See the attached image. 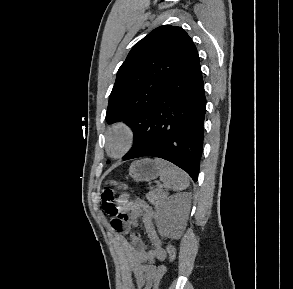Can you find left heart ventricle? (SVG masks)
<instances>
[{
    "instance_id": "left-heart-ventricle-1",
    "label": "left heart ventricle",
    "mask_w": 293,
    "mask_h": 289,
    "mask_svg": "<svg viewBox=\"0 0 293 289\" xmlns=\"http://www.w3.org/2000/svg\"><path fill=\"white\" fill-rule=\"evenodd\" d=\"M124 143V139L121 135H116L112 140H111V143H110V146H111V150L116 153L118 152L122 145Z\"/></svg>"
}]
</instances>
